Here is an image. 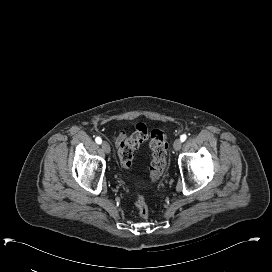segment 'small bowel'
I'll return each instance as SVG.
<instances>
[{
  "instance_id": "1",
  "label": "small bowel",
  "mask_w": 272,
  "mask_h": 272,
  "mask_svg": "<svg viewBox=\"0 0 272 272\" xmlns=\"http://www.w3.org/2000/svg\"><path fill=\"white\" fill-rule=\"evenodd\" d=\"M126 139V132L125 130L121 129L118 131L117 135L114 136V141L116 144H120L122 141Z\"/></svg>"
}]
</instances>
